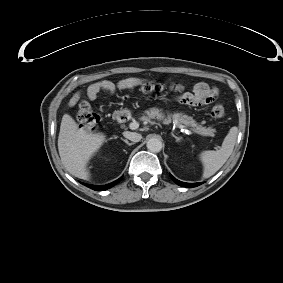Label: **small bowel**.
<instances>
[{"instance_id":"small-bowel-1","label":"small bowel","mask_w":283,"mask_h":283,"mask_svg":"<svg viewBox=\"0 0 283 283\" xmlns=\"http://www.w3.org/2000/svg\"><path fill=\"white\" fill-rule=\"evenodd\" d=\"M138 85L137 80L134 78H123L117 83L111 81H101L90 85L87 89V96L91 100H95L100 90H106L111 95L115 94L118 90L131 89ZM217 95L215 89L210 88L205 83H198L195 85L193 94L187 95L180 93L176 96L177 101L183 104L195 105L206 104L212 102ZM80 98L78 92L74 93L69 100V105H75Z\"/></svg>"}]
</instances>
